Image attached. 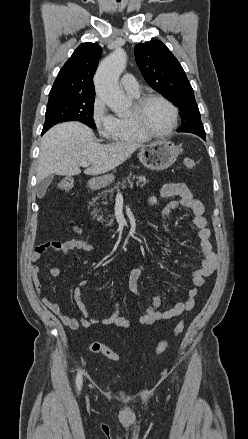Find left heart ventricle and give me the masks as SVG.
Masks as SVG:
<instances>
[{
  "label": "left heart ventricle",
  "instance_id": "b2bd125f",
  "mask_svg": "<svg viewBox=\"0 0 248 439\" xmlns=\"http://www.w3.org/2000/svg\"><path fill=\"white\" fill-rule=\"evenodd\" d=\"M171 109L161 100H151L144 110L146 126L157 133L167 131L172 125Z\"/></svg>",
  "mask_w": 248,
  "mask_h": 439
}]
</instances>
